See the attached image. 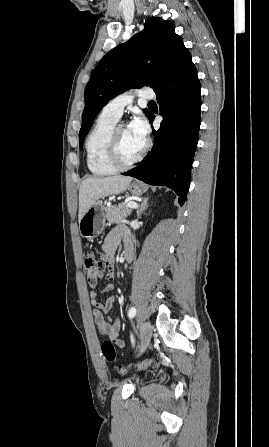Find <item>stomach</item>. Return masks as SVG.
Segmentation results:
<instances>
[{"instance_id": "stomach-1", "label": "stomach", "mask_w": 269, "mask_h": 447, "mask_svg": "<svg viewBox=\"0 0 269 447\" xmlns=\"http://www.w3.org/2000/svg\"><path fill=\"white\" fill-rule=\"evenodd\" d=\"M128 190L133 196H142L143 190H147V186L145 184H131V186H128ZM105 222L104 206L101 200H96L88 212L82 216L79 222V231L82 237L92 239V237H97L99 233H102Z\"/></svg>"}]
</instances>
